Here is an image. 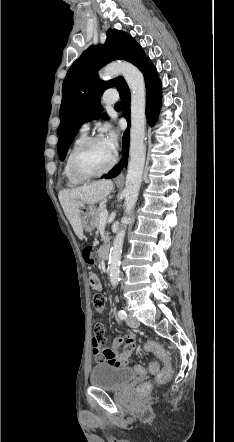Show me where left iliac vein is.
<instances>
[{"label": "left iliac vein", "mask_w": 234, "mask_h": 442, "mask_svg": "<svg viewBox=\"0 0 234 442\" xmlns=\"http://www.w3.org/2000/svg\"><path fill=\"white\" fill-rule=\"evenodd\" d=\"M126 323L128 326H130L132 328H136L139 326V321L136 318L132 317L131 315H129L126 318Z\"/></svg>", "instance_id": "left-iliac-vein-1"}]
</instances>
